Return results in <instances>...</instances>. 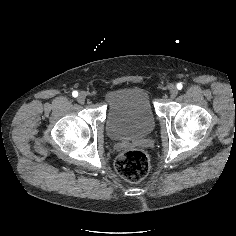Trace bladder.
Returning <instances> with one entry per match:
<instances>
[{
    "label": "bladder",
    "mask_w": 236,
    "mask_h": 236,
    "mask_svg": "<svg viewBox=\"0 0 236 236\" xmlns=\"http://www.w3.org/2000/svg\"><path fill=\"white\" fill-rule=\"evenodd\" d=\"M156 122L150 93L144 87L123 86L109 96L105 131L111 140L145 137L154 130Z\"/></svg>",
    "instance_id": "bladder-1"
}]
</instances>
